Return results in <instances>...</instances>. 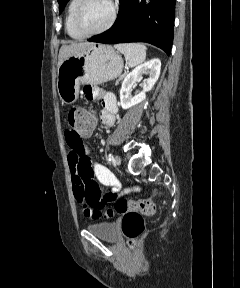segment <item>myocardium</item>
<instances>
[{"label":"myocardium","instance_id":"f54148a6","mask_svg":"<svg viewBox=\"0 0 240 288\" xmlns=\"http://www.w3.org/2000/svg\"><path fill=\"white\" fill-rule=\"evenodd\" d=\"M87 2H88V0H79V3L75 9L74 17H73V25H74V28L76 29V31H78L84 37H88V36H94V35L101 34L105 31H107L108 29H110L116 20L117 3L114 0H110L111 15H110L107 23L103 27H101L100 29L95 30V31H85L80 25V16H81L82 10H83V8Z\"/></svg>","mask_w":240,"mask_h":288}]
</instances>
